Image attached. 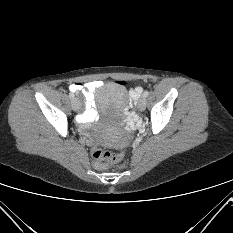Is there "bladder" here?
I'll use <instances>...</instances> for the list:
<instances>
[{"mask_svg": "<svg viewBox=\"0 0 233 233\" xmlns=\"http://www.w3.org/2000/svg\"><path fill=\"white\" fill-rule=\"evenodd\" d=\"M128 99L126 88L117 82L102 86L96 95L97 107L105 114L119 117L122 115ZM103 144L113 146L120 143V139L110 136L100 137Z\"/></svg>", "mask_w": 233, "mask_h": 233, "instance_id": "bladder-1", "label": "bladder"}]
</instances>
